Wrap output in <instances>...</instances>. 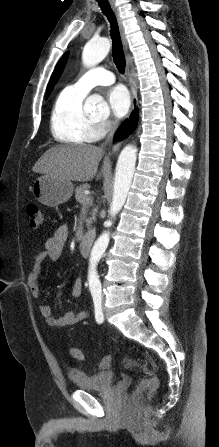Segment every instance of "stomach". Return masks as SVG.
<instances>
[{
	"label": "stomach",
	"mask_w": 219,
	"mask_h": 447,
	"mask_svg": "<svg viewBox=\"0 0 219 447\" xmlns=\"http://www.w3.org/2000/svg\"><path fill=\"white\" fill-rule=\"evenodd\" d=\"M71 181L59 179L51 174L38 177L32 185L34 198L40 203L54 207L68 201L73 194Z\"/></svg>",
	"instance_id": "1"
}]
</instances>
